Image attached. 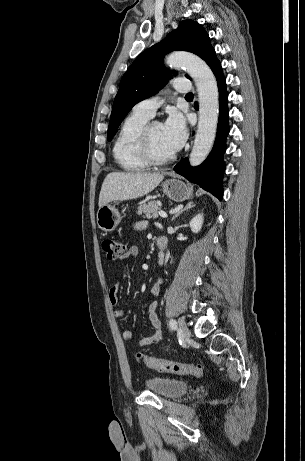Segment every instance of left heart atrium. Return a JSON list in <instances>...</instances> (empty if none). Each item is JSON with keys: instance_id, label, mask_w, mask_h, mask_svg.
Masks as SVG:
<instances>
[{"instance_id": "39dd6f15", "label": "left heart atrium", "mask_w": 305, "mask_h": 461, "mask_svg": "<svg viewBox=\"0 0 305 461\" xmlns=\"http://www.w3.org/2000/svg\"><path fill=\"white\" fill-rule=\"evenodd\" d=\"M162 126L167 145L173 152L180 150L188 137L184 117L178 112H172Z\"/></svg>"}]
</instances>
